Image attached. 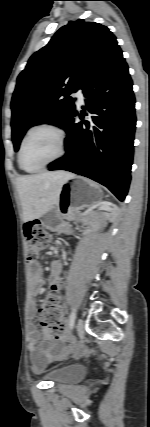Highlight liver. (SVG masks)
I'll use <instances>...</instances> for the list:
<instances>
[{"instance_id": "obj_1", "label": "liver", "mask_w": 150, "mask_h": 427, "mask_svg": "<svg viewBox=\"0 0 150 427\" xmlns=\"http://www.w3.org/2000/svg\"><path fill=\"white\" fill-rule=\"evenodd\" d=\"M74 175L65 171L45 172L17 179L23 221L40 218L57 203L61 188Z\"/></svg>"}]
</instances>
